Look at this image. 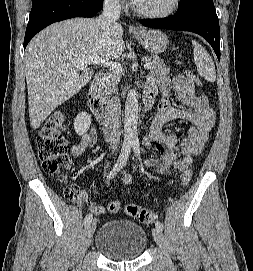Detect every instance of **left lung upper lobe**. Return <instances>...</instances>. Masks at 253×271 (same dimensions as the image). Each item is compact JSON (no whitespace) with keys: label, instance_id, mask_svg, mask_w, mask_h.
<instances>
[{"label":"left lung upper lobe","instance_id":"obj_1","mask_svg":"<svg viewBox=\"0 0 253 271\" xmlns=\"http://www.w3.org/2000/svg\"><path fill=\"white\" fill-rule=\"evenodd\" d=\"M198 5H200V0H180L179 10L188 11Z\"/></svg>","mask_w":253,"mask_h":271}]
</instances>
